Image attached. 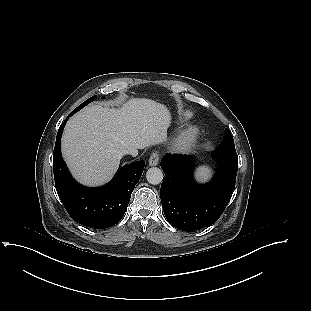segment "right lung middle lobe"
<instances>
[{"mask_svg": "<svg viewBox=\"0 0 311 311\" xmlns=\"http://www.w3.org/2000/svg\"><path fill=\"white\" fill-rule=\"evenodd\" d=\"M96 98V96H93L91 98H89L88 100H86L85 102H83L81 105H79L73 112H77L78 110H80L81 108H83L84 106H86L88 103H90L91 101H93Z\"/></svg>", "mask_w": 311, "mask_h": 311, "instance_id": "right-lung-middle-lobe-1", "label": "right lung middle lobe"}]
</instances>
